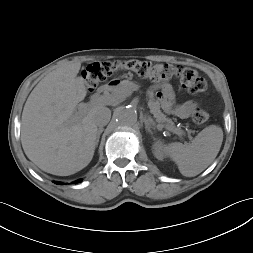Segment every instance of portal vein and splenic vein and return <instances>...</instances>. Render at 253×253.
<instances>
[{
	"instance_id": "18ae733b",
	"label": "portal vein and splenic vein",
	"mask_w": 253,
	"mask_h": 253,
	"mask_svg": "<svg viewBox=\"0 0 253 253\" xmlns=\"http://www.w3.org/2000/svg\"><path fill=\"white\" fill-rule=\"evenodd\" d=\"M102 100H103V98H100V101H102ZM89 107H90V104H88V103H80L78 105V112L73 117V121H77L82 115H84L88 111ZM175 133L178 135L183 134L182 132H175Z\"/></svg>"
}]
</instances>
